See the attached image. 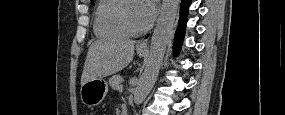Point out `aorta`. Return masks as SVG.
<instances>
[{"label":"aorta","instance_id":"1","mask_svg":"<svg viewBox=\"0 0 285 115\" xmlns=\"http://www.w3.org/2000/svg\"><path fill=\"white\" fill-rule=\"evenodd\" d=\"M180 0H163L161 12L154 30L150 54L140 82L134 91V103L140 105L152 89L162 61L169 38L173 31Z\"/></svg>","mask_w":285,"mask_h":115}]
</instances>
